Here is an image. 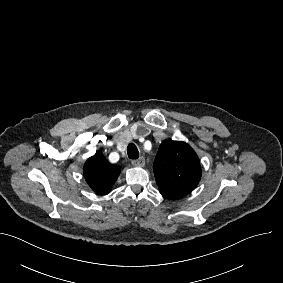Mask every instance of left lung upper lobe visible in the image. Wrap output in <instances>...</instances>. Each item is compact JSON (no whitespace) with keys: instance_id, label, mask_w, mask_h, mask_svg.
I'll use <instances>...</instances> for the list:
<instances>
[{"instance_id":"obj_1","label":"left lung upper lobe","mask_w":283,"mask_h":283,"mask_svg":"<svg viewBox=\"0 0 283 283\" xmlns=\"http://www.w3.org/2000/svg\"><path fill=\"white\" fill-rule=\"evenodd\" d=\"M153 171L161 195L179 199L199 183L201 166L197 154L185 142L165 140L159 147Z\"/></svg>"}]
</instances>
